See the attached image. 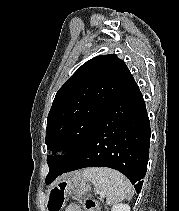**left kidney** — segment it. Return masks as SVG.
<instances>
[{"label":"left kidney","instance_id":"5707ae66","mask_svg":"<svg viewBox=\"0 0 179 211\" xmlns=\"http://www.w3.org/2000/svg\"><path fill=\"white\" fill-rule=\"evenodd\" d=\"M111 211H130V206L128 204H117L112 207Z\"/></svg>","mask_w":179,"mask_h":211}]
</instances>
